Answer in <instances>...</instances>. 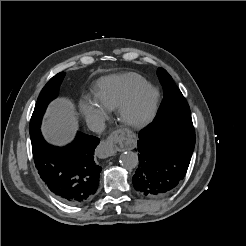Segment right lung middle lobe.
<instances>
[{
  "label": "right lung middle lobe",
  "mask_w": 246,
  "mask_h": 246,
  "mask_svg": "<svg viewBox=\"0 0 246 246\" xmlns=\"http://www.w3.org/2000/svg\"><path fill=\"white\" fill-rule=\"evenodd\" d=\"M64 76H65L64 72L56 74L43 87L37 99L34 112L31 117L30 126H29L30 133L36 131L37 129H40L42 117L45 113V110L48 104L57 97L59 86Z\"/></svg>",
  "instance_id": "right-lung-middle-lobe-1"
}]
</instances>
